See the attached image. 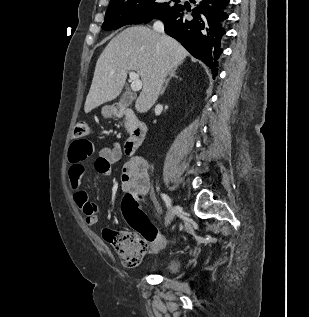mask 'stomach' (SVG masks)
Instances as JSON below:
<instances>
[{
    "label": "stomach",
    "instance_id": "1",
    "mask_svg": "<svg viewBox=\"0 0 309 317\" xmlns=\"http://www.w3.org/2000/svg\"><path fill=\"white\" fill-rule=\"evenodd\" d=\"M114 114H115V111H114V109L112 107L106 106V107L102 108V115L105 118H109V117H111Z\"/></svg>",
    "mask_w": 309,
    "mask_h": 317
}]
</instances>
